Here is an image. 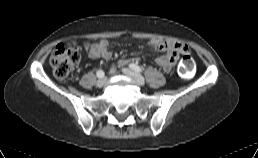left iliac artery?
I'll use <instances>...</instances> for the list:
<instances>
[{
    "label": "left iliac artery",
    "instance_id": "1",
    "mask_svg": "<svg viewBox=\"0 0 258 158\" xmlns=\"http://www.w3.org/2000/svg\"><path fill=\"white\" fill-rule=\"evenodd\" d=\"M129 67H130L132 70H134V71H136V72H138V73H141V72H142V68L139 67V66L136 65V64H130Z\"/></svg>",
    "mask_w": 258,
    "mask_h": 158
}]
</instances>
